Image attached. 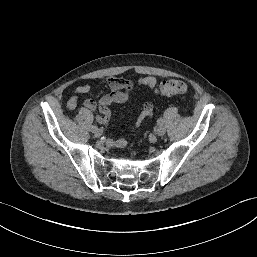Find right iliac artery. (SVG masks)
Masks as SVG:
<instances>
[{
	"label": "right iliac artery",
	"instance_id": "right-iliac-artery-1",
	"mask_svg": "<svg viewBox=\"0 0 257 257\" xmlns=\"http://www.w3.org/2000/svg\"><path fill=\"white\" fill-rule=\"evenodd\" d=\"M97 129H98V127H97L96 125H93V126L91 127L92 132H94V131L97 130Z\"/></svg>",
	"mask_w": 257,
	"mask_h": 257
}]
</instances>
